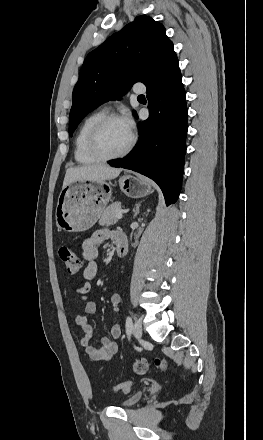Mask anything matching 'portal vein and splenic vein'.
I'll return each instance as SVG.
<instances>
[{
  "instance_id": "18ae733b",
  "label": "portal vein and splenic vein",
  "mask_w": 263,
  "mask_h": 440,
  "mask_svg": "<svg viewBox=\"0 0 263 440\" xmlns=\"http://www.w3.org/2000/svg\"><path fill=\"white\" fill-rule=\"evenodd\" d=\"M122 216H123V212L122 211H119V212L116 213V218L117 219H121Z\"/></svg>"
}]
</instances>
